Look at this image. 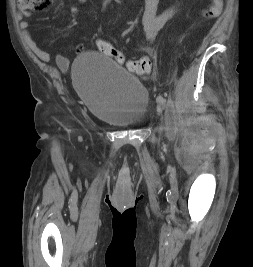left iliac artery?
<instances>
[{"label":"left iliac artery","instance_id":"1","mask_svg":"<svg viewBox=\"0 0 253 267\" xmlns=\"http://www.w3.org/2000/svg\"><path fill=\"white\" fill-rule=\"evenodd\" d=\"M156 101L159 103V104H162L164 105L166 103V99H164L162 96H158L156 98Z\"/></svg>","mask_w":253,"mask_h":267}]
</instances>
